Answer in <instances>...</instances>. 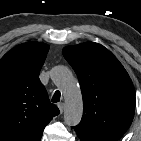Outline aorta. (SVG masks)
<instances>
[{
    "mask_svg": "<svg viewBox=\"0 0 141 141\" xmlns=\"http://www.w3.org/2000/svg\"><path fill=\"white\" fill-rule=\"evenodd\" d=\"M51 79L62 90L65 99L64 121L68 126L80 123L83 101L80 88L69 68L58 65L51 70Z\"/></svg>",
    "mask_w": 141,
    "mask_h": 141,
    "instance_id": "1",
    "label": "aorta"
}]
</instances>
